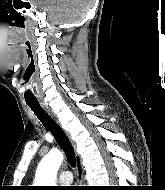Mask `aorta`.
I'll return each instance as SVG.
<instances>
[{"label": "aorta", "mask_w": 165, "mask_h": 190, "mask_svg": "<svg viewBox=\"0 0 165 190\" xmlns=\"http://www.w3.org/2000/svg\"><path fill=\"white\" fill-rule=\"evenodd\" d=\"M63 158V154L60 151L51 150L38 166L36 184H39V186H54L57 171Z\"/></svg>", "instance_id": "aorta-1"}]
</instances>
